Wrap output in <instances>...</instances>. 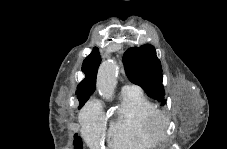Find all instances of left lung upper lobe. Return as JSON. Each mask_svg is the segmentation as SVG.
I'll use <instances>...</instances> for the list:
<instances>
[{
  "label": "left lung upper lobe",
  "instance_id": "left-lung-upper-lobe-1",
  "mask_svg": "<svg viewBox=\"0 0 227 149\" xmlns=\"http://www.w3.org/2000/svg\"><path fill=\"white\" fill-rule=\"evenodd\" d=\"M123 63L131 82L142 87L151 98L166 103L161 63L154 46L131 47L124 53Z\"/></svg>",
  "mask_w": 227,
  "mask_h": 149
}]
</instances>
